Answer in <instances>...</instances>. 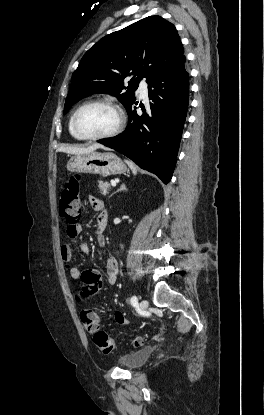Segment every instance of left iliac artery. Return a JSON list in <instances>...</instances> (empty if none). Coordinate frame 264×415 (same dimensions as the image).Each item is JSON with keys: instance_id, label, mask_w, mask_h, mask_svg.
Returning a JSON list of instances; mask_svg holds the SVG:
<instances>
[{"instance_id": "44dca946", "label": "left iliac artery", "mask_w": 264, "mask_h": 415, "mask_svg": "<svg viewBox=\"0 0 264 415\" xmlns=\"http://www.w3.org/2000/svg\"><path fill=\"white\" fill-rule=\"evenodd\" d=\"M130 303L132 306H137L138 305V299L135 295H133L130 299Z\"/></svg>"}]
</instances>
